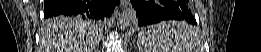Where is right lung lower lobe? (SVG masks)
Here are the masks:
<instances>
[{
    "mask_svg": "<svg viewBox=\"0 0 261 52\" xmlns=\"http://www.w3.org/2000/svg\"><path fill=\"white\" fill-rule=\"evenodd\" d=\"M119 0H44V16H86L103 20L110 16Z\"/></svg>",
    "mask_w": 261,
    "mask_h": 52,
    "instance_id": "1",
    "label": "right lung lower lobe"
}]
</instances>
